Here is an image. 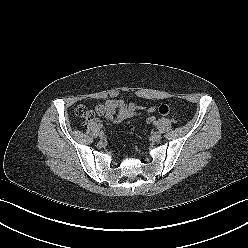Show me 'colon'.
<instances>
[{"label":"colon","mask_w":248,"mask_h":248,"mask_svg":"<svg viewBox=\"0 0 248 248\" xmlns=\"http://www.w3.org/2000/svg\"><path fill=\"white\" fill-rule=\"evenodd\" d=\"M75 113L78 117L83 118L85 120H90L93 117L92 111L83 105L78 106L75 110ZM155 119V116L150 115L146 118V122L148 124H152L155 122Z\"/></svg>","instance_id":"colon-1"}]
</instances>
